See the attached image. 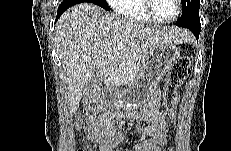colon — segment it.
Wrapping results in <instances>:
<instances>
[{"instance_id": "colon-1", "label": "colon", "mask_w": 231, "mask_h": 151, "mask_svg": "<svg viewBox=\"0 0 231 151\" xmlns=\"http://www.w3.org/2000/svg\"><path fill=\"white\" fill-rule=\"evenodd\" d=\"M191 60L188 56L180 57L172 66L164 88L163 101L168 116L172 123L177 117V97L176 91L179 85L187 78L190 73ZM79 119V115H78ZM79 126L80 123L78 122ZM82 151V150H79Z\"/></svg>"}]
</instances>
